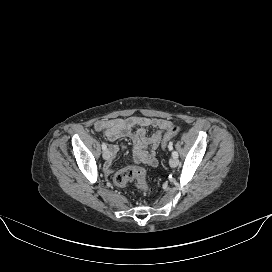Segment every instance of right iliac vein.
<instances>
[{
    "instance_id": "63e3f726",
    "label": "right iliac vein",
    "mask_w": 272,
    "mask_h": 272,
    "mask_svg": "<svg viewBox=\"0 0 272 272\" xmlns=\"http://www.w3.org/2000/svg\"><path fill=\"white\" fill-rule=\"evenodd\" d=\"M103 158L105 159V160H108L109 158H110V152H109V150H104V152H103Z\"/></svg>"
}]
</instances>
